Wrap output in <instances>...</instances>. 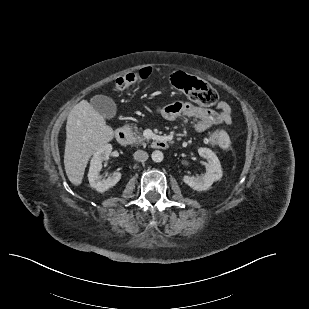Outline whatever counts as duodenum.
I'll return each instance as SVG.
<instances>
[{"mask_svg": "<svg viewBox=\"0 0 309 309\" xmlns=\"http://www.w3.org/2000/svg\"><path fill=\"white\" fill-rule=\"evenodd\" d=\"M116 140L121 145H127L130 140L129 132L125 128H118L115 131ZM152 148L154 149H167L169 147V142L166 138L159 137L152 141L151 143Z\"/></svg>", "mask_w": 309, "mask_h": 309, "instance_id": "410a0bca", "label": "duodenum"}]
</instances>
